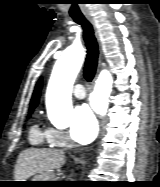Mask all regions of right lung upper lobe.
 Instances as JSON below:
<instances>
[{"label": "right lung upper lobe", "instance_id": "obj_1", "mask_svg": "<svg viewBox=\"0 0 160 187\" xmlns=\"http://www.w3.org/2000/svg\"><path fill=\"white\" fill-rule=\"evenodd\" d=\"M41 89H42V80L40 79L39 82L35 86V90L33 92V96H32L31 103H30L31 104L30 109H34L37 106L39 102Z\"/></svg>", "mask_w": 160, "mask_h": 187}]
</instances>
